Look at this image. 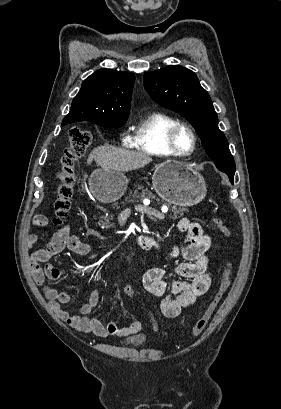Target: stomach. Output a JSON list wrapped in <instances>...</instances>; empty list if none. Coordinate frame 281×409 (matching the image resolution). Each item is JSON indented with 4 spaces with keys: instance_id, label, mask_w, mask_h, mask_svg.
<instances>
[{
    "instance_id": "0dacf381",
    "label": "stomach",
    "mask_w": 281,
    "mask_h": 409,
    "mask_svg": "<svg viewBox=\"0 0 281 409\" xmlns=\"http://www.w3.org/2000/svg\"><path fill=\"white\" fill-rule=\"evenodd\" d=\"M153 188L170 205L193 207L204 198L206 182L188 162L164 160L154 168ZM128 180L120 170L96 168L90 174L89 188L100 202H115L127 188Z\"/></svg>"
}]
</instances>
